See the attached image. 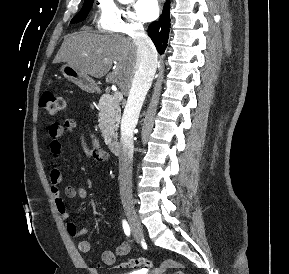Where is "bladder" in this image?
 <instances>
[{
    "instance_id": "1",
    "label": "bladder",
    "mask_w": 289,
    "mask_h": 274,
    "mask_svg": "<svg viewBox=\"0 0 289 274\" xmlns=\"http://www.w3.org/2000/svg\"><path fill=\"white\" fill-rule=\"evenodd\" d=\"M121 274H144L140 271H131V272H124V273H121Z\"/></svg>"
}]
</instances>
